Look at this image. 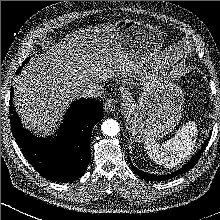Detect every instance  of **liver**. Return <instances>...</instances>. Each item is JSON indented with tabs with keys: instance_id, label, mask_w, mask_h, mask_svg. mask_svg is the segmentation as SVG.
Instances as JSON below:
<instances>
[{
	"instance_id": "obj_1",
	"label": "liver",
	"mask_w": 220,
	"mask_h": 220,
	"mask_svg": "<svg viewBox=\"0 0 220 220\" xmlns=\"http://www.w3.org/2000/svg\"><path fill=\"white\" fill-rule=\"evenodd\" d=\"M129 69L116 25L79 30L29 62L15 79L14 102L26 128L47 133L83 89Z\"/></svg>"
}]
</instances>
